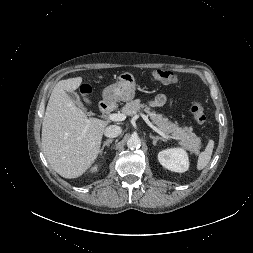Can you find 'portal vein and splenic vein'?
Masks as SVG:
<instances>
[{"instance_id": "1", "label": "portal vein and splenic vein", "mask_w": 253, "mask_h": 253, "mask_svg": "<svg viewBox=\"0 0 253 253\" xmlns=\"http://www.w3.org/2000/svg\"><path fill=\"white\" fill-rule=\"evenodd\" d=\"M141 117L143 118V120L147 123V125L149 127H151L154 131H156L157 133H159L160 135L164 136V137H168L166 136L163 132H161L156 126H154L148 119V117L144 114L141 113ZM108 119L111 120V121H114V122H117V121H124L126 119V115L125 114H122V113H113V114H110L108 116ZM85 131L83 132V135H84Z\"/></svg>"}]
</instances>
